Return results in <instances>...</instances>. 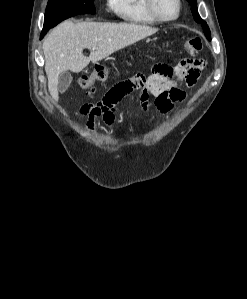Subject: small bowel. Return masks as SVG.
Listing matches in <instances>:
<instances>
[{"instance_id":"obj_1","label":"small bowel","mask_w":247,"mask_h":299,"mask_svg":"<svg viewBox=\"0 0 247 299\" xmlns=\"http://www.w3.org/2000/svg\"><path fill=\"white\" fill-rule=\"evenodd\" d=\"M203 61L199 59H183L176 64H158L153 66L150 75L136 74L112 87L104 98L91 104H84L80 116L86 119V127L92 133H97L98 123L103 120L113 127L117 116V103L134 92L140 91V104L145 115L150 112V97H154L157 109L170 114L175 104L182 102L186 93L180 88V83L193 87L200 76Z\"/></svg>"}]
</instances>
